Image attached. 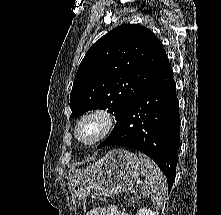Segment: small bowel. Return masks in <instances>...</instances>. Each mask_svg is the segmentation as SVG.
<instances>
[{"label":"small bowel","instance_id":"obj_1","mask_svg":"<svg viewBox=\"0 0 221 215\" xmlns=\"http://www.w3.org/2000/svg\"><path fill=\"white\" fill-rule=\"evenodd\" d=\"M86 215H129V214L120 211L115 206H107V207H101L90 210L86 213Z\"/></svg>","mask_w":221,"mask_h":215}]
</instances>
